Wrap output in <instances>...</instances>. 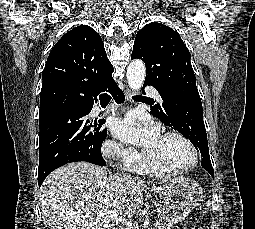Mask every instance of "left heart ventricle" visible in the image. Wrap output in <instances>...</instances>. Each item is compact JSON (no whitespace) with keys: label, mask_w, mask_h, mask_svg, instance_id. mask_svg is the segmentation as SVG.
Here are the masks:
<instances>
[{"label":"left heart ventricle","mask_w":255,"mask_h":229,"mask_svg":"<svg viewBox=\"0 0 255 229\" xmlns=\"http://www.w3.org/2000/svg\"><path fill=\"white\" fill-rule=\"evenodd\" d=\"M153 161L167 166H185L192 161L190 148L176 137L160 135L155 144L144 151Z\"/></svg>","instance_id":"1"}]
</instances>
